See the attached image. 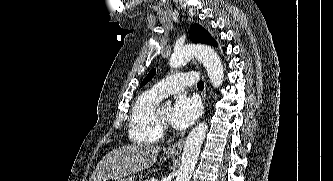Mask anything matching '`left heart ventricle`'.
I'll return each instance as SVG.
<instances>
[{
  "label": "left heart ventricle",
  "instance_id": "b2bd125f",
  "mask_svg": "<svg viewBox=\"0 0 333 181\" xmlns=\"http://www.w3.org/2000/svg\"><path fill=\"white\" fill-rule=\"evenodd\" d=\"M171 106L170 105H163L161 108V117L163 120L168 121L171 115Z\"/></svg>",
  "mask_w": 333,
  "mask_h": 181
}]
</instances>
